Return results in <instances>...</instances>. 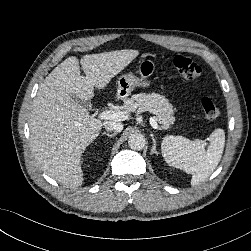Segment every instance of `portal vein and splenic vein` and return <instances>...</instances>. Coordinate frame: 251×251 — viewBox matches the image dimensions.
I'll list each match as a JSON object with an SVG mask.
<instances>
[{
  "mask_svg": "<svg viewBox=\"0 0 251 251\" xmlns=\"http://www.w3.org/2000/svg\"><path fill=\"white\" fill-rule=\"evenodd\" d=\"M99 118L102 120L123 121L128 119V112L124 110H105L99 114ZM150 124L154 129H159V126L154 117L150 118Z\"/></svg>",
  "mask_w": 251,
  "mask_h": 251,
  "instance_id": "obj_1",
  "label": "portal vein and splenic vein"
}]
</instances>
